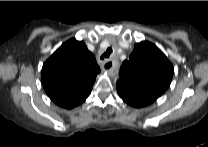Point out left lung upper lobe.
<instances>
[{"mask_svg": "<svg viewBox=\"0 0 208 147\" xmlns=\"http://www.w3.org/2000/svg\"><path fill=\"white\" fill-rule=\"evenodd\" d=\"M173 65L154 44L144 41L134 46L129 60L122 63L117 85L159 98L169 87Z\"/></svg>", "mask_w": 208, "mask_h": 147, "instance_id": "1", "label": "left lung upper lobe"}]
</instances>
